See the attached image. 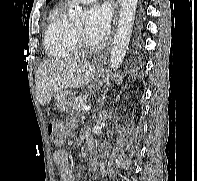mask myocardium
I'll list each match as a JSON object with an SVG mask.
<instances>
[{"label": "myocardium", "mask_w": 197, "mask_h": 181, "mask_svg": "<svg viewBox=\"0 0 197 181\" xmlns=\"http://www.w3.org/2000/svg\"><path fill=\"white\" fill-rule=\"evenodd\" d=\"M74 40L79 50H81L82 52H92L98 48L96 45L89 43L76 31V29H74Z\"/></svg>", "instance_id": "obj_1"}]
</instances>
